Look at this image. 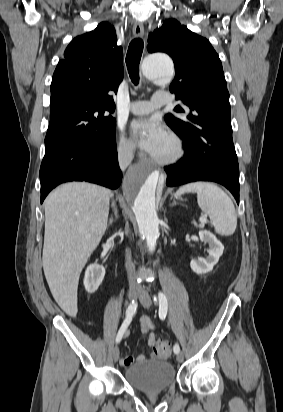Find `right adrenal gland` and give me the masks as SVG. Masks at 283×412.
<instances>
[{"instance_id": "obj_1", "label": "right adrenal gland", "mask_w": 283, "mask_h": 412, "mask_svg": "<svg viewBox=\"0 0 283 412\" xmlns=\"http://www.w3.org/2000/svg\"><path fill=\"white\" fill-rule=\"evenodd\" d=\"M114 215H115V218L111 217V218L109 219V223H108V226H107V227H109L110 225H112V223H113L114 221H116V219H118V213H117L116 208H114Z\"/></svg>"}]
</instances>
